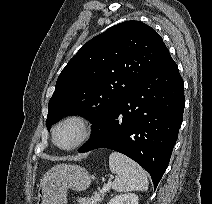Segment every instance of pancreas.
Returning <instances> with one entry per match:
<instances>
[{"label": "pancreas", "instance_id": "1", "mask_svg": "<svg viewBox=\"0 0 212 204\" xmlns=\"http://www.w3.org/2000/svg\"><path fill=\"white\" fill-rule=\"evenodd\" d=\"M105 193L95 192L91 197L78 198L76 201L78 204H97L103 201Z\"/></svg>", "mask_w": 212, "mask_h": 204}]
</instances>
